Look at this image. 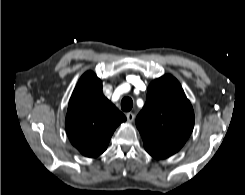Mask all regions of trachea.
Here are the masks:
<instances>
[{"mask_svg": "<svg viewBox=\"0 0 245 195\" xmlns=\"http://www.w3.org/2000/svg\"><path fill=\"white\" fill-rule=\"evenodd\" d=\"M133 107V100L130 97H125L121 101V109L125 112H128Z\"/></svg>", "mask_w": 245, "mask_h": 195, "instance_id": "trachea-1", "label": "trachea"}]
</instances>
